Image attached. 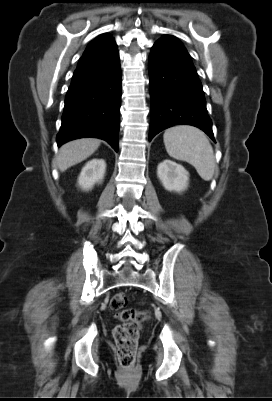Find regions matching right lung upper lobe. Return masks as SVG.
<instances>
[{"label":"right lung upper lobe","mask_w":272,"mask_h":401,"mask_svg":"<svg viewBox=\"0 0 272 401\" xmlns=\"http://www.w3.org/2000/svg\"><path fill=\"white\" fill-rule=\"evenodd\" d=\"M115 43L112 36L108 34H103L98 36L95 40H93L84 51L82 57L79 60L78 65L86 63L95 57L101 55L106 50L111 48Z\"/></svg>","instance_id":"cb5924a9"}]
</instances>
